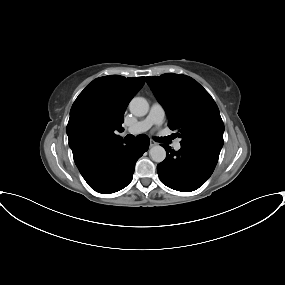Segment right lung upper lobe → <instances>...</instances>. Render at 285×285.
I'll return each mask as SVG.
<instances>
[{
	"label": "right lung upper lobe",
	"mask_w": 285,
	"mask_h": 285,
	"mask_svg": "<svg viewBox=\"0 0 285 285\" xmlns=\"http://www.w3.org/2000/svg\"><path fill=\"white\" fill-rule=\"evenodd\" d=\"M145 77L103 76L93 80L79 94L70 110L67 125L73 158L119 139L124 113Z\"/></svg>",
	"instance_id": "cb5924a9"
}]
</instances>
